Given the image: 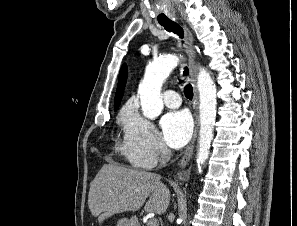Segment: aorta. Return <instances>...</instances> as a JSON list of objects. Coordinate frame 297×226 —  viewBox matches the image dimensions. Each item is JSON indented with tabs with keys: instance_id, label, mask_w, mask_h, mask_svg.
Returning <instances> with one entry per match:
<instances>
[{
	"instance_id": "aorta-1",
	"label": "aorta",
	"mask_w": 297,
	"mask_h": 226,
	"mask_svg": "<svg viewBox=\"0 0 297 226\" xmlns=\"http://www.w3.org/2000/svg\"><path fill=\"white\" fill-rule=\"evenodd\" d=\"M179 63L176 55H165L156 58L146 68L144 79L139 85L138 93L143 115L149 119H155L163 110L161 87L171 71ZM199 91L200 131L198 141L197 165L201 172V165L209 157V149L214 137V125L216 120L217 89L210 74L200 68L197 77Z\"/></svg>"
}]
</instances>
